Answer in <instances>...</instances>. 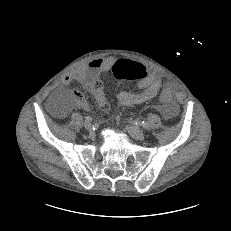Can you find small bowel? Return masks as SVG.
<instances>
[{
	"label": "small bowel",
	"instance_id": "obj_1",
	"mask_svg": "<svg viewBox=\"0 0 231 231\" xmlns=\"http://www.w3.org/2000/svg\"><path fill=\"white\" fill-rule=\"evenodd\" d=\"M115 59L112 57L96 58L91 60L87 65L77 68L73 72L64 75L61 80V85H68L72 82L80 83L86 90L92 91L93 82L98 79L102 74L107 73L113 66ZM162 78L155 72H147L144 78L138 81V92L121 91L117 93L116 100L122 106H132L145 103L158 95L163 87ZM100 107L102 108L101 98L95 94ZM75 104L87 110L88 103L84 96L78 91H72ZM178 107L175 103H172L161 110V113L167 119H171L176 116Z\"/></svg>",
	"mask_w": 231,
	"mask_h": 231
}]
</instances>
